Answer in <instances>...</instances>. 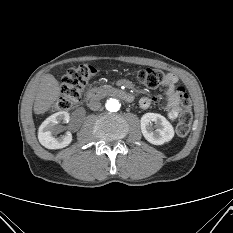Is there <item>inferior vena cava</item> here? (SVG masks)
Wrapping results in <instances>:
<instances>
[{
	"instance_id": "obj_1",
	"label": "inferior vena cava",
	"mask_w": 233,
	"mask_h": 233,
	"mask_svg": "<svg viewBox=\"0 0 233 233\" xmlns=\"http://www.w3.org/2000/svg\"><path fill=\"white\" fill-rule=\"evenodd\" d=\"M88 107L93 111H97L101 108V103L97 100H90Z\"/></svg>"
}]
</instances>
